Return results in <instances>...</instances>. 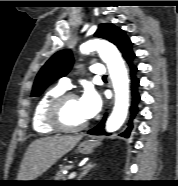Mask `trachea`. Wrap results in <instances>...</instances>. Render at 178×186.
<instances>
[{
    "label": "trachea",
    "mask_w": 178,
    "mask_h": 186,
    "mask_svg": "<svg viewBox=\"0 0 178 186\" xmlns=\"http://www.w3.org/2000/svg\"><path fill=\"white\" fill-rule=\"evenodd\" d=\"M107 78V76L105 75V76H103V79H106Z\"/></svg>",
    "instance_id": "trachea-1"
}]
</instances>
